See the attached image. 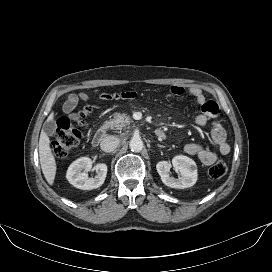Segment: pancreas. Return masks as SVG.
Listing matches in <instances>:
<instances>
[{
    "label": "pancreas",
    "instance_id": "pancreas-1",
    "mask_svg": "<svg viewBox=\"0 0 272 272\" xmlns=\"http://www.w3.org/2000/svg\"><path fill=\"white\" fill-rule=\"evenodd\" d=\"M132 122L127 114L115 113L109 121V126L113 130H122L123 128H129Z\"/></svg>",
    "mask_w": 272,
    "mask_h": 272
}]
</instances>
